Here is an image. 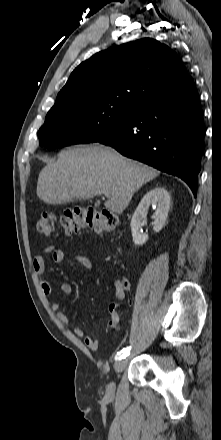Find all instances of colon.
Wrapping results in <instances>:
<instances>
[{"instance_id": "colon-1", "label": "colon", "mask_w": 221, "mask_h": 440, "mask_svg": "<svg viewBox=\"0 0 221 440\" xmlns=\"http://www.w3.org/2000/svg\"><path fill=\"white\" fill-rule=\"evenodd\" d=\"M55 224H58L67 235L77 234L83 229L95 232H112L117 229L119 218L115 213L109 211L98 212L90 208H68L59 216L48 212L40 214L36 229L39 234L48 236L53 232ZM117 326L118 324L115 325V327Z\"/></svg>"}]
</instances>
